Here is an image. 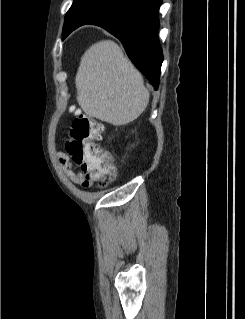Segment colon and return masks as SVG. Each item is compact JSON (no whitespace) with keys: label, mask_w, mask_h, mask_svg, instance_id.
I'll return each mask as SVG.
<instances>
[{"label":"colon","mask_w":245,"mask_h":319,"mask_svg":"<svg viewBox=\"0 0 245 319\" xmlns=\"http://www.w3.org/2000/svg\"><path fill=\"white\" fill-rule=\"evenodd\" d=\"M101 122L87 115H78L67 133L66 151L83 175V185L105 187L116 176L109 152L96 143L103 134Z\"/></svg>","instance_id":"5ec220e1"}]
</instances>
